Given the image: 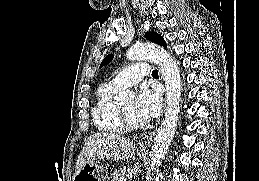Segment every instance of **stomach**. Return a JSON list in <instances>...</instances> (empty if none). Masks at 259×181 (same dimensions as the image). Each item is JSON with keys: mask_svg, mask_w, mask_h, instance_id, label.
I'll return each mask as SVG.
<instances>
[{"mask_svg": "<svg viewBox=\"0 0 259 181\" xmlns=\"http://www.w3.org/2000/svg\"><path fill=\"white\" fill-rule=\"evenodd\" d=\"M139 156L144 157L145 153L140 152ZM107 178V168L97 161H90L75 173L72 181H106Z\"/></svg>", "mask_w": 259, "mask_h": 181, "instance_id": "obj_1", "label": "stomach"}]
</instances>
